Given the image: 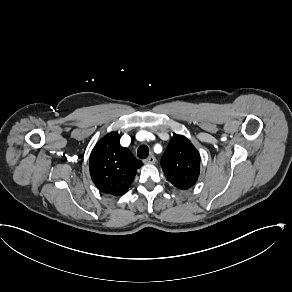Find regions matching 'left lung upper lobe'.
Returning a JSON list of instances; mask_svg holds the SVG:
<instances>
[{"instance_id":"5c2ea615","label":"left lung upper lobe","mask_w":292,"mask_h":292,"mask_svg":"<svg viewBox=\"0 0 292 292\" xmlns=\"http://www.w3.org/2000/svg\"><path fill=\"white\" fill-rule=\"evenodd\" d=\"M161 167L175 187L186 190L198 180L200 155L185 136L174 135L161 158Z\"/></svg>"}]
</instances>
